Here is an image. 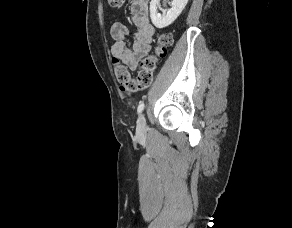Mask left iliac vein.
<instances>
[{"label": "left iliac vein", "mask_w": 292, "mask_h": 228, "mask_svg": "<svg viewBox=\"0 0 292 228\" xmlns=\"http://www.w3.org/2000/svg\"><path fill=\"white\" fill-rule=\"evenodd\" d=\"M147 126H146V119L144 114H140L137 119V134L138 135H144L146 132Z\"/></svg>", "instance_id": "1"}]
</instances>
